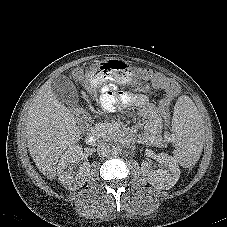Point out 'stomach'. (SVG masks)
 Masks as SVG:
<instances>
[{
    "instance_id": "1",
    "label": "stomach",
    "mask_w": 227,
    "mask_h": 227,
    "mask_svg": "<svg viewBox=\"0 0 227 227\" xmlns=\"http://www.w3.org/2000/svg\"><path fill=\"white\" fill-rule=\"evenodd\" d=\"M85 84L89 86H106L108 82H116L117 86L133 84L138 79L136 67L131 62L120 59L103 62L93 60L84 71Z\"/></svg>"
}]
</instances>
